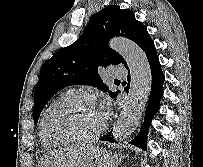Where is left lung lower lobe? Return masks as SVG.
<instances>
[{
	"mask_svg": "<svg viewBox=\"0 0 203 167\" xmlns=\"http://www.w3.org/2000/svg\"><path fill=\"white\" fill-rule=\"evenodd\" d=\"M142 49L145 52L148 62L150 64L151 74H152V86H151V92H150V97H149V101H148V105L145 113L143 126L139 134L131 141V143L141 148H146L145 143L147 139L148 127L150 125V122L153 116L159 109L160 100H161V97L163 96V83H164L165 77L161 70V66H160L159 59L157 57L154 42L150 40L147 44H145V46ZM128 79H130L129 76H128ZM100 140L113 142L111 132H109L108 134L100 138Z\"/></svg>",
	"mask_w": 203,
	"mask_h": 167,
	"instance_id": "obj_1",
	"label": "left lung lower lobe"
}]
</instances>
